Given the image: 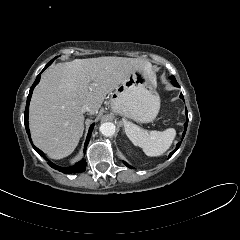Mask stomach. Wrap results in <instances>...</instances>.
I'll list each match as a JSON object with an SVG mask.
<instances>
[{"instance_id": "0dacf381", "label": "stomach", "mask_w": 240, "mask_h": 240, "mask_svg": "<svg viewBox=\"0 0 240 240\" xmlns=\"http://www.w3.org/2000/svg\"><path fill=\"white\" fill-rule=\"evenodd\" d=\"M112 110L136 122L153 121L160 109L156 78L143 69L131 72L111 93Z\"/></svg>"}]
</instances>
